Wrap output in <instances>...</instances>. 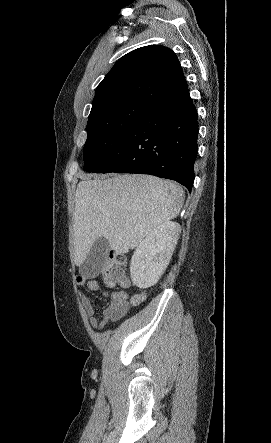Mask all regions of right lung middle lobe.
I'll return each instance as SVG.
<instances>
[{
	"instance_id": "1",
	"label": "right lung middle lobe",
	"mask_w": 271,
	"mask_h": 443,
	"mask_svg": "<svg viewBox=\"0 0 271 443\" xmlns=\"http://www.w3.org/2000/svg\"><path fill=\"white\" fill-rule=\"evenodd\" d=\"M151 104L143 99H123L95 107L88 118L83 169L93 172L101 167Z\"/></svg>"
}]
</instances>
